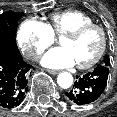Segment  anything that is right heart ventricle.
<instances>
[{
	"label": "right heart ventricle",
	"instance_id": "right-heart-ventricle-1",
	"mask_svg": "<svg viewBox=\"0 0 117 117\" xmlns=\"http://www.w3.org/2000/svg\"><path fill=\"white\" fill-rule=\"evenodd\" d=\"M93 23L92 18L79 10L54 12L49 16L47 26L53 35H63L81 25Z\"/></svg>",
	"mask_w": 117,
	"mask_h": 117
}]
</instances>
